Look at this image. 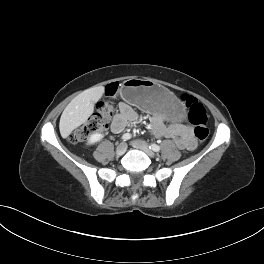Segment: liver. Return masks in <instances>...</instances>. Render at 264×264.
<instances>
[{"label":"liver","mask_w":264,"mask_h":264,"mask_svg":"<svg viewBox=\"0 0 264 264\" xmlns=\"http://www.w3.org/2000/svg\"><path fill=\"white\" fill-rule=\"evenodd\" d=\"M105 88H89L76 96L64 109L59 123L60 134L67 138L71 132L85 123L94 111V103L103 95Z\"/></svg>","instance_id":"obj_1"}]
</instances>
